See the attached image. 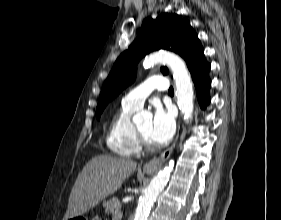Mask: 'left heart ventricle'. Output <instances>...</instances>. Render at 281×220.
Returning <instances> with one entry per match:
<instances>
[{
    "label": "left heart ventricle",
    "mask_w": 281,
    "mask_h": 220,
    "mask_svg": "<svg viewBox=\"0 0 281 220\" xmlns=\"http://www.w3.org/2000/svg\"><path fill=\"white\" fill-rule=\"evenodd\" d=\"M151 128V122H146L143 123L141 125L138 126L139 131L144 135V137L146 139H148L149 141H151L150 137H149V131Z\"/></svg>",
    "instance_id": "1"
}]
</instances>
